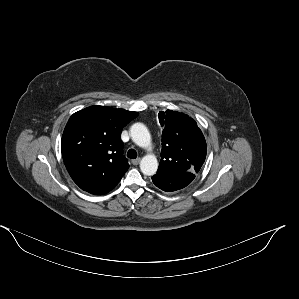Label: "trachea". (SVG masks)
<instances>
[{"mask_svg": "<svg viewBox=\"0 0 299 299\" xmlns=\"http://www.w3.org/2000/svg\"><path fill=\"white\" fill-rule=\"evenodd\" d=\"M127 157L130 159H135L137 157V152L134 149H129L127 152Z\"/></svg>", "mask_w": 299, "mask_h": 299, "instance_id": "3493384b", "label": "trachea"}]
</instances>
